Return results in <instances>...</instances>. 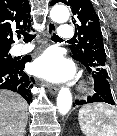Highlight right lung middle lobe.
Instances as JSON below:
<instances>
[{
	"label": "right lung middle lobe",
	"mask_w": 117,
	"mask_h": 136,
	"mask_svg": "<svg viewBox=\"0 0 117 136\" xmlns=\"http://www.w3.org/2000/svg\"><path fill=\"white\" fill-rule=\"evenodd\" d=\"M14 60L15 59H13L11 57V55L8 53V51L0 52V62L10 63Z\"/></svg>",
	"instance_id": "right-lung-middle-lobe-1"
}]
</instances>
